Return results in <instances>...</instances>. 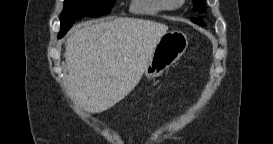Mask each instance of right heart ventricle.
I'll list each match as a JSON object with an SVG mask.
<instances>
[{
  "label": "right heart ventricle",
  "mask_w": 273,
  "mask_h": 144,
  "mask_svg": "<svg viewBox=\"0 0 273 144\" xmlns=\"http://www.w3.org/2000/svg\"><path fill=\"white\" fill-rule=\"evenodd\" d=\"M130 8L133 12L142 15H154L163 9L160 0H133Z\"/></svg>",
  "instance_id": "obj_1"
}]
</instances>
